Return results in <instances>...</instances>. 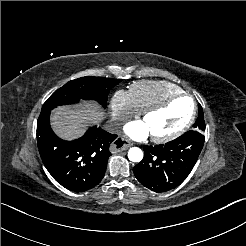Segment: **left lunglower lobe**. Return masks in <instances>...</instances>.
I'll return each instance as SVG.
<instances>
[{"mask_svg": "<svg viewBox=\"0 0 246 246\" xmlns=\"http://www.w3.org/2000/svg\"><path fill=\"white\" fill-rule=\"evenodd\" d=\"M204 140L203 133L191 130L166 144L145 145L143 160L133 168L135 177L155 192L174 189L192 171Z\"/></svg>", "mask_w": 246, "mask_h": 246, "instance_id": "left-lung-lower-lobe-1", "label": "left lung lower lobe"}]
</instances>
